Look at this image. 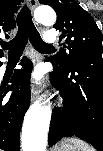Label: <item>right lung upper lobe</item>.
<instances>
[{"instance_id":"1","label":"right lung upper lobe","mask_w":103,"mask_h":151,"mask_svg":"<svg viewBox=\"0 0 103 151\" xmlns=\"http://www.w3.org/2000/svg\"><path fill=\"white\" fill-rule=\"evenodd\" d=\"M22 0H0V36L9 37L16 26L15 13ZM0 50V54H2Z\"/></svg>"}]
</instances>
